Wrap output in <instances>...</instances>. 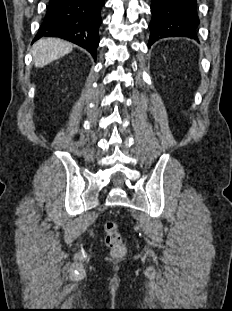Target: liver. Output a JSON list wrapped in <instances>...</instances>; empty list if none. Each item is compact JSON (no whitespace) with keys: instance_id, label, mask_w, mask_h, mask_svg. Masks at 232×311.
<instances>
[{"instance_id":"liver-1","label":"liver","mask_w":232,"mask_h":311,"mask_svg":"<svg viewBox=\"0 0 232 311\" xmlns=\"http://www.w3.org/2000/svg\"><path fill=\"white\" fill-rule=\"evenodd\" d=\"M72 49L71 43L58 38L40 39L32 47L35 67H44L52 61L67 55Z\"/></svg>"}]
</instances>
